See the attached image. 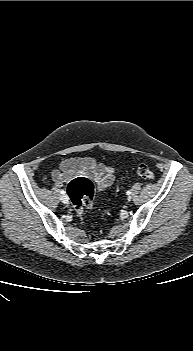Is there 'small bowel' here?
<instances>
[{
  "label": "small bowel",
  "mask_w": 193,
  "mask_h": 351,
  "mask_svg": "<svg viewBox=\"0 0 193 351\" xmlns=\"http://www.w3.org/2000/svg\"><path fill=\"white\" fill-rule=\"evenodd\" d=\"M76 176L93 180L98 190L102 191L113 183L115 172L113 168L92 158H70L63 161L60 168L52 173L57 185H63Z\"/></svg>",
  "instance_id": "1"
}]
</instances>
